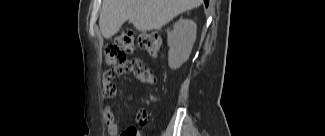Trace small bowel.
<instances>
[{"instance_id": "obj_1", "label": "small bowel", "mask_w": 325, "mask_h": 136, "mask_svg": "<svg viewBox=\"0 0 325 136\" xmlns=\"http://www.w3.org/2000/svg\"><path fill=\"white\" fill-rule=\"evenodd\" d=\"M144 57H134L133 60H127L117 68L107 70L103 73L102 78V92L106 97H112L114 95L113 79L125 74L133 73L143 83L152 85L156 83V78L153 73L145 66ZM105 118L107 121L108 133L112 136L118 135L121 131L124 133L129 129H136L135 127H123L115 121L114 112L110 107H105ZM137 120L140 124H146L148 121V112L146 109H140L137 113Z\"/></svg>"}]
</instances>
